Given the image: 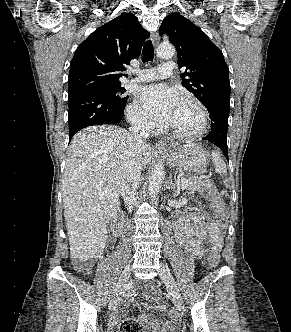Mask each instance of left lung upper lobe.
Returning a JSON list of instances; mask_svg holds the SVG:
<instances>
[{"instance_id":"left-lung-upper-lobe-1","label":"left lung upper lobe","mask_w":291,"mask_h":332,"mask_svg":"<svg viewBox=\"0 0 291 332\" xmlns=\"http://www.w3.org/2000/svg\"><path fill=\"white\" fill-rule=\"evenodd\" d=\"M160 35L166 33L176 47L182 85L206 108L217 99H230L229 68L222 51L190 20L172 13L164 18Z\"/></svg>"}]
</instances>
